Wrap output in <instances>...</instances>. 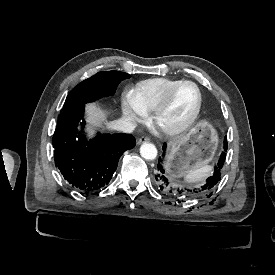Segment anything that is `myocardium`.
<instances>
[{
    "label": "myocardium",
    "mask_w": 275,
    "mask_h": 275,
    "mask_svg": "<svg viewBox=\"0 0 275 275\" xmlns=\"http://www.w3.org/2000/svg\"><path fill=\"white\" fill-rule=\"evenodd\" d=\"M183 84H191L195 87L196 92H197V103L196 106L194 108V110L192 111V113L189 115V117L180 125L176 126V127H171V128H161L158 124L159 118L160 116L168 109L170 102L172 100V97L174 95L175 90ZM202 92L200 87L191 80H180L175 82L165 93L163 99L161 100V102L159 103V105L156 107V109L154 110V114H153V123L156 127V129L161 132L162 134L165 135H169V136H174V135H178L181 134L183 132H185L186 130H188L192 124L195 122V120L197 119L201 108H202Z\"/></svg>",
    "instance_id": "f54148a6"
}]
</instances>
